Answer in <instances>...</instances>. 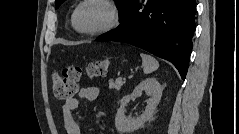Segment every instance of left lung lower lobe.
I'll return each mask as SVG.
<instances>
[{
	"label": "left lung lower lobe",
	"instance_id": "0a47b994",
	"mask_svg": "<svg viewBox=\"0 0 239 134\" xmlns=\"http://www.w3.org/2000/svg\"><path fill=\"white\" fill-rule=\"evenodd\" d=\"M195 0H135L121 24L96 41H117L170 61L185 79L195 30Z\"/></svg>",
	"mask_w": 239,
	"mask_h": 134
}]
</instances>
